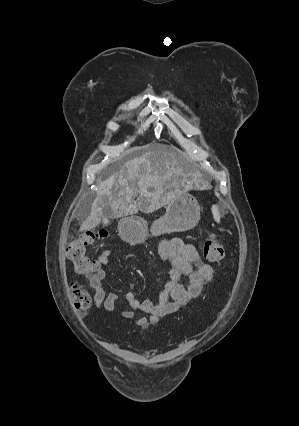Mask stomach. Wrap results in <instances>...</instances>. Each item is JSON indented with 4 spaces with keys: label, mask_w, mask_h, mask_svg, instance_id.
Returning <instances> with one entry per match:
<instances>
[{
    "label": "stomach",
    "mask_w": 299,
    "mask_h": 426,
    "mask_svg": "<svg viewBox=\"0 0 299 426\" xmlns=\"http://www.w3.org/2000/svg\"><path fill=\"white\" fill-rule=\"evenodd\" d=\"M200 220V206L188 193L175 195L167 203L166 213L155 220L150 228L154 236L171 232H183L194 228ZM148 226L139 217L124 218L121 222L122 236L132 243H140L148 237Z\"/></svg>",
    "instance_id": "stomach-1"
}]
</instances>
